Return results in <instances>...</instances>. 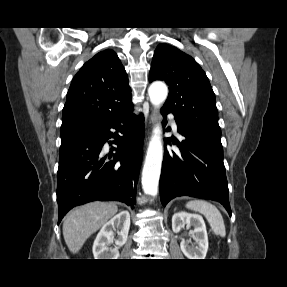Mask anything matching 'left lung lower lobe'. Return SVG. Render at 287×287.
I'll use <instances>...</instances> for the list:
<instances>
[{"instance_id":"1","label":"left lung lower lobe","mask_w":287,"mask_h":287,"mask_svg":"<svg viewBox=\"0 0 287 287\" xmlns=\"http://www.w3.org/2000/svg\"><path fill=\"white\" fill-rule=\"evenodd\" d=\"M167 113L162 110L164 123ZM177 129L184 140L177 142L180 153L165 147L159 184L162 205L166 206L171 199L179 196L210 199L220 202L231 216L222 146L178 122ZM172 143L176 144L173 140ZM165 144L171 145V139L166 138Z\"/></svg>"}]
</instances>
